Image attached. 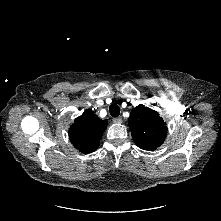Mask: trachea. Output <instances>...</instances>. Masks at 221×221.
Instances as JSON below:
<instances>
[{
  "mask_svg": "<svg viewBox=\"0 0 221 221\" xmlns=\"http://www.w3.org/2000/svg\"><path fill=\"white\" fill-rule=\"evenodd\" d=\"M109 113L112 117H118L120 115V108L117 104H112L109 107Z\"/></svg>",
  "mask_w": 221,
  "mask_h": 221,
  "instance_id": "3493384b",
  "label": "trachea"
}]
</instances>
